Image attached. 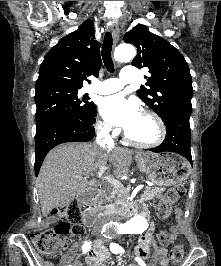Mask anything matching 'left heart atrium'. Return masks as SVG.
<instances>
[{"instance_id": "obj_1", "label": "left heart atrium", "mask_w": 221, "mask_h": 266, "mask_svg": "<svg viewBox=\"0 0 221 266\" xmlns=\"http://www.w3.org/2000/svg\"><path fill=\"white\" fill-rule=\"evenodd\" d=\"M100 112L110 125L129 130L141 117L139 105L134 99H127L123 94L104 98L100 104Z\"/></svg>"}]
</instances>
